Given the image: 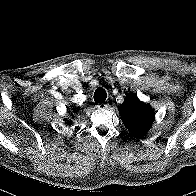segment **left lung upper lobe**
<instances>
[{
  "mask_svg": "<svg viewBox=\"0 0 196 196\" xmlns=\"http://www.w3.org/2000/svg\"><path fill=\"white\" fill-rule=\"evenodd\" d=\"M121 119L128 130L137 136H141L149 129L154 120V111L149 104L141 102L134 94L119 107Z\"/></svg>",
  "mask_w": 196,
  "mask_h": 196,
  "instance_id": "5c2ea615",
  "label": "left lung upper lobe"
}]
</instances>
